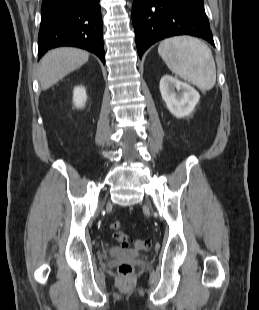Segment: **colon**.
Returning a JSON list of instances; mask_svg holds the SVG:
<instances>
[{
    "label": "colon",
    "instance_id": "1",
    "mask_svg": "<svg viewBox=\"0 0 259 310\" xmlns=\"http://www.w3.org/2000/svg\"><path fill=\"white\" fill-rule=\"evenodd\" d=\"M121 224L118 221L112 222L110 228L114 231L113 238L124 246H132L136 250H146L150 246L148 240L130 239L124 232L120 231ZM119 273L123 276H129L133 272V266L129 263H122L119 268Z\"/></svg>",
    "mask_w": 259,
    "mask_h": 310
}]
</instances>
